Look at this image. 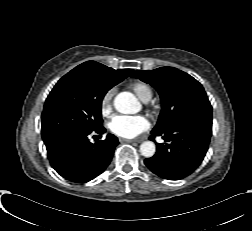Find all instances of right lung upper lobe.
<instances>
[{"label": "right lung upper lobe", "instance_id": "right-lung-upper-lobe-1", "mask_svg": "<svg viewBox=\"0 0 252 231\" xmlns=\"http://www.w3.org/2000/svg\"><path fill=\"white\" fill-rule=\"evenodd\" d=\"M79 68H95L98 70L105 71L110 77H112L114 80L121 82L126 77L130 75V73L133 71L132 69H118L114 70L112 68L106 67L100 63H97L95 61H87L79 66Z\"/></svg>", "mask_w": 252, "mask_h": 231}]
</instances>
